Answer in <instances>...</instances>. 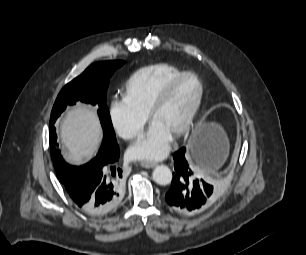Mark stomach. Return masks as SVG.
<instances>
[{
	"instance_id": "1",
	"label": "stomach",
	"mask_w": 306,
	"mask_h": 255,
	"mask_svg": "<svg viewBox=\"0 0 306 255\" xmlns=\"http://www.w3.org/2000/svg\"><path fill=\"white\" fill-rule=\"evenodd\" d=\"M209 145H214L219 149L218 156L209 164L211 165V169H216L221 165L226 155V136L218 124L202 121L198 125L189 142V146L192 151V159L196 164L200 166L208 165L205 163L200 164L202 163L200 158L201 155L208 149Z\"/></svg>"
}]
</instances>
